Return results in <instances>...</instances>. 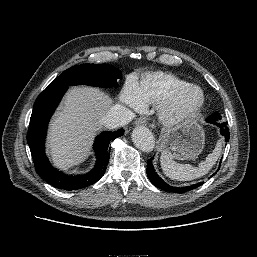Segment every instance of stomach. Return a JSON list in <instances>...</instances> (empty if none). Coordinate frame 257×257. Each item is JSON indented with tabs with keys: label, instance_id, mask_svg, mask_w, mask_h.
<instances>
[{
	"label": "stomach",
	"instance_id": "1",
	"mask_svg": "<svg viewBox=\"0 0 257 257\" xmlns=\"http://www.w3.org/2000/svg\"><path fill=\"white\" fill-rule=\"evenodd\" d=\"M160 144L172 158L190 160L202 152L205 134L197 121L189 120L165 130Z\"/></svg>",
	"mask_w": 257,
	"mask_h": 257
}]
</instances>
